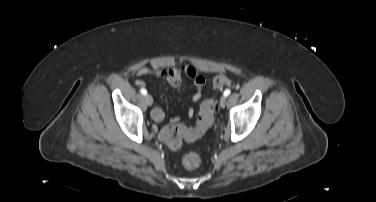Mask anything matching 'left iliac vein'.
I'll use <instances>...</instances> for the list:
<instances>
[{
  "instance_id": "1",
  "label": "left iliac vein",
  "mask_w": 376,
  "mask_h": 202,
  "mask_svg": "<svg viewBox=\"0 0 376 202\" xmlns=\"http://www.w3.org/2000/svg\"><path fill=\"white\" fill-rule=\"evenodd\" d=\"M226 105V97L223 96L221 99H220V107L221 108H224Z\"/></svg>"
}]
</instances>
